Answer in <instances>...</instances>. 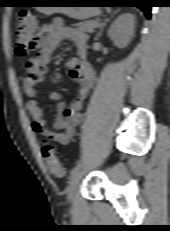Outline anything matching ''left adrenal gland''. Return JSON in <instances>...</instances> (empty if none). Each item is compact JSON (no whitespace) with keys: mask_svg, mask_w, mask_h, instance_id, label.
<instances>
[{"mask_svg":"<svg viewBox=\"0 0 170 231\" xmlns=\"http://www.w3.org/2000/svg\"><path fill=\"white\" fill-rule=\"evenodd\" d=\"M107 20H108V19H106L105 22L103 23V25H102V27H101V31H102V29H103V26L106 24ZM101 31L97 34V37H99V36L101 35Z\"/></svg>","mask_w":170,"mask_h":231,"instance_id":"a2214340","label":"left adrenal gland"}]
</instances>
